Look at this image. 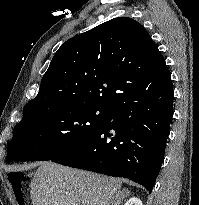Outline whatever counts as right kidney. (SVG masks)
<instances>
[{
	"instance_id": "ca27d5eb",
	"label": "right kidney",
	"mask_w": 199,
	"mask_h": 205,
	"mask_svg": "<svg viewBox=\"0 0 199 205\" xmlns=\"http://www.w3.org/2000/svg\"><path fill=\"white\" fill-rule=\"evenodd\" d=\"M124 205H143L139 198H130Z\"/></svg>"
}]
</instances>
